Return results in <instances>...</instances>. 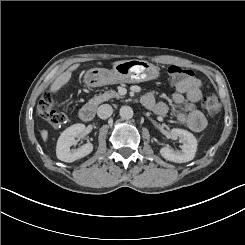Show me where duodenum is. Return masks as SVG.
<instances>
[{"instance_id":"duodenum-1","label":"duodenum","mask_w":245,"mask_h":245,"mask_svg":"<svg viewBox=\"0 0 245 245\" xmlns=\"http://www.w3.org/2000/svg\"><path fill=\"white\" fill-rule=\"evenodd\" d=\"M79 116L85 122L91 121L95 116V107L91 104L84 105L79 111Z\"/></svg>"}]
</instances>
